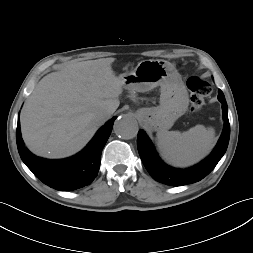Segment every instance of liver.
Listing matches in <instances>:
<instances>
[{
	"label": "liver",
	"mask_w": 253,
	"mask_h": 253,
	"mask_svg": "<svg viewBox=\"0 0 253 253\" xmlns=\"http://www.w3.org/2000/svg\"><path fill=\"white\" fill-rule=\"evenodd\" d=\"M115 58L72 63L43 77L21 112L26 146L38 156L64 158L80 151L100 124L95 114L119 107L122 80L115 76Z\"/></svg>",
	"instance_id": "6515ba94"
}]
</instances>
